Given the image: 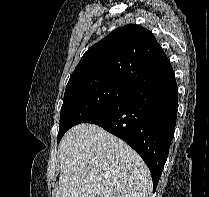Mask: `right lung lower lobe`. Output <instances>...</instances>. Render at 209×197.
I'll return each instance as SVG.
<instances>
[{"mask_svg":"<svg viewBox=\"0 0 209 197\" xmlns=\"http://www.w3.org/2000/svg\"><path fill=\"white\" fill-rule=\"evenodd\" d=\"M177 108L178 87L172 71L83 123L101 126L137 151L149 166L155 191L168 157Z\"/></svg>","mask_w":209,"mask_h":197,"instance_id":"right-lung-lower-lobe-1","label":"right lung lower lobe"}]
</instances>
